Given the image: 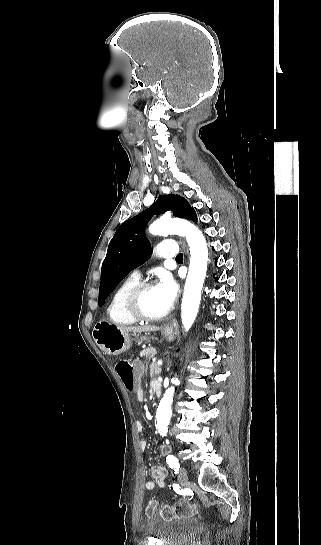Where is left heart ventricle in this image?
Returning a JSON list of instances; mask_svg holds the SVG:
<instances>
[{
  "label": "left heart ventricle",
  "instance_id": "left-heart-ventricle-1",
  "mask_svg": "<svg viewBox=\"0 0 321 545\" xmlns=\"http://www.w3.org/2000/svg\"><path fill=\"white\" fill-rule=\"evenodd\" d=\"M139 309L149 315L165 313L169 310L163 298L157 293L155 287L144 292L138 300Z\"/></svg>",
  "mask_w": 321,
  "mask_h": 545
}]
</instances>
